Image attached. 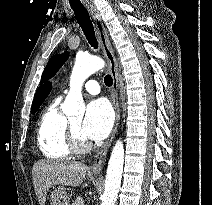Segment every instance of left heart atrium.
<instances>
[{
	"instance_id": "1",
	"label": "left heart atrium",
	"mask_w": 212,
	"mask_h": 205,
	"mask_svg": "<svg viewBox=\"0 0 212 205\" xmlns=\"http://www.w3.org/2000/svg\"><path fill=\"white\" fill-rule=\"evenodd\" d=\"M113 122L114 114L110 104L104 99L94 100L87 106L81 134L92 141L102 140L111 131Z\"/></svg>"
}]
</instances>
